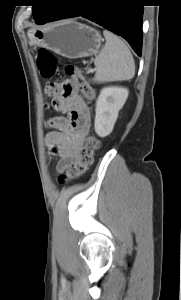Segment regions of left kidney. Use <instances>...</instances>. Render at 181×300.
Here are the masks:
<instances>
[{
    "label": "left kidney",
    "mask_w": 181,
    "mask_h": 300,
    "mask_svg": "<svg viewBox=\"0 0 181 300\" xmlns=\"http://www.w3.org/2000/svg\"><path fill=\"white\" fill-rule=\"evenodd\" d=\"M129 91L118 86L101 89L96 101L94 128L101 138L108 136L116 123L118 112L125 104Z\"/></svg>",
    "instance_id": "obj_1"
}]
</instances>
